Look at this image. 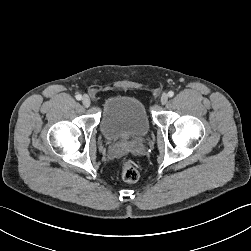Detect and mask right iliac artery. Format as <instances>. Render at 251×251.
Masks as SVG:
<instances>
[{
    "label": "right iliac artery",
    "instance_id": "82829eb1",
    "mask_svg": "<svg viewBox=\"0 0 251 251\" xmlns=\"http://www.w3.org/2000/svg\"><path fill=\"white\" fill-rule=\"evenodd\" d=\"M75 97H76L77 100H81L82 99V96L80 94H77Z\"/></svg>",
    "mask_w": 251,
    "mask_h": 251
}]
</instances>
